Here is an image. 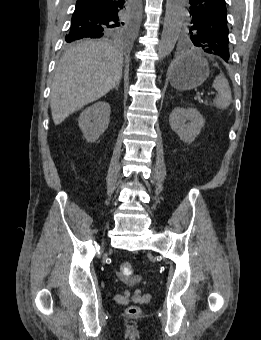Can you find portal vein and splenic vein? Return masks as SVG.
I'll return each instance as SVG.
<instances>
[{
	"instance_id": "18ae733b",
	"label": "portal vein and splenic vein",
	"mask_w": 261,
	"mask_h": 340,
	"mask_svg": "<svg viewBox=\"0 0 261 340\" xmlns=\"http://www.w3.org/2000/svg\"><path fill=\"white\" fill-rule=\"evenodd\" d=\"M208 95H215V92H210V93H208Z\"/></svg>"
}]
</instances>
